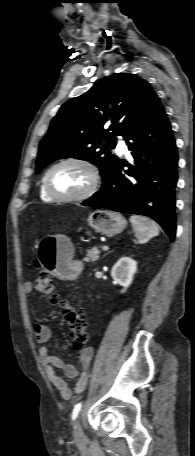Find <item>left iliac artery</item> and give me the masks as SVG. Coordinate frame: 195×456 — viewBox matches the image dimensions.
<instances>
[{"label": "left iliac artery", "instance_id": "1", "mask_svg": "<svg viewBox=\"0 0 195 456\" xmlns=\"http://www.w3.org/2000/svg\"><path fill=\"white\" fill-rule=\"evenodd\" d=\"M81 409V403H78L77 405H75L74 409H73V412H72V419L75 420L76 417L78 416V413Z\"/></svg>", "mask_w": 195, "mask_h": 456}]
</instances>
